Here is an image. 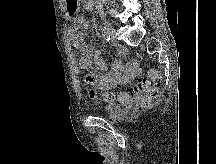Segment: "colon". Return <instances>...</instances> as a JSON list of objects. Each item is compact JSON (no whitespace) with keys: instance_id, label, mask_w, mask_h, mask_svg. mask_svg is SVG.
Masks as SVG:
<instances>
[{"instance_id":"colon-1","label":"colon","mask_w":216,"mask_h":164,"mask_svg":"<svg viewBox=\"0 0 216 164\" xmlns=\"http://www.w3.org/2000/svg\"><path fill=\"white\" fill-rule=\"evenodd\" d=\"M160 84V73L155 69H151L147 77L137 80L131 88L121 91L118 94L105 92L101 96L105 102L111 105L128 104L134 98H137L140 105L143 108H147L157 98Z\"/></svg>"}]
</instances>
